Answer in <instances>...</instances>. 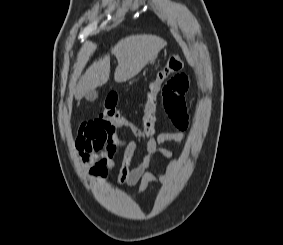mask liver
I'll return each instance as SVG.
<instances>
[{"instance_id": "obj_1", "label": "liver", "mask_w": 283, "mask_h": 245, "mask_svg": "<svg viewBox=\"0 0 283 245\" xmlns=\"http://www.w3.org/2000/svg\"><path fill=\"white\" fill-rule=\"evenodd\" d=\"M166 45V41L155 35H132L121 39L112 49L118 66L116 82H125L136 76L143 67ZM110 56L96 60L80 78L75 97L80 100L88 91L104 85L109 80Z\"/></svg>"}]
</instances>
